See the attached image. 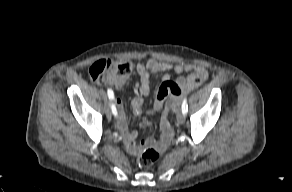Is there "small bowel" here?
Returning <instances> with one entry per match:
<instances>
[{
  "instance_id": "obj_1",
  "label": "small bowel",
  "mask_w": 292,
  "mask_h": 192,
  "mask_svg": "<svg viewBox=\"0 0 292 192\" xmlns=\"http://www.w3.org/2000/svg\"><path fill=\"white\" fill-rule=\"evenodd\" d=\"M137 73L140 77L139 91L142 95H147L150 91L151 76L156 73L163 72V82L159 84L157 98L150 111L160 112L159 126L161 127V139L158 143L154 140H146L138 144L136 142L137 132L129 131L123 106L120 99L117 100V106L120 111V116L117 119L116 125L122 136L126 149L133 155L139 154L145 147L156 145L160 149H164L170 143L173 130L168 121V115L177 110L179 98L183 91L195 88L201 85L208 77V72L205 66L199 64H171L159 61L155 58H150L146 62H138L136 65ZM170 71L177 74L190 72L187 77L180 76L176 81H171ZM166 106H164V102ZM131 108L134 114L139 115L143 111V100L141 97H135L131 102ZM150 122L142 121L143 127H148Z\"/></svg>"
}]
</instances>
